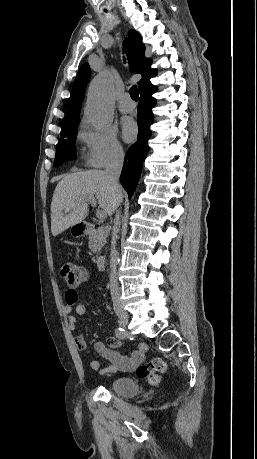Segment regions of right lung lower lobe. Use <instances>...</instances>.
Wrapping results in <instances>:
<instances>
[{
	"label": "right lung lower lobe",
	"instance_id": "1",
	"mask_svg": "<svg viewBox=\"0 0 257 459\" xmlns=\"http://www.w3.org/2000/svg\"><path fill=\"white\" fill-rule=\"evenodd\" d=\"M156 87L151 83L146 84L140 90V101L138 104V140L127 151L124 159V166L120 176V182L127 191L129 198L132 196L142 170L143 160L149 150L147 140L150 138V125L153 123L152 107L155 105V98L152 94Z\"/></svg>",
	"mask_w": 257,
	"mask_h": 459
}]
</instances>
